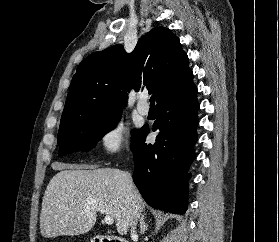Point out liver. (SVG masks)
Listing matches in <instances>:
<instances>
[{"label":"liver","instance_id":"6515ba94","mask_svg":"<svg viewBox=\"0 0 279 242\" xmlns=\"http://www.w3.org/2000/svg\"><path fill=\"white\" fill-rule=\"evenodd\" d=\"M42 201L40 230L45 238L80 235L92 229L97 212L115 219L125 235L131 220L145 208L130 176L119 169L61 165Z\"/></svg>","mask_w":279,"mask_h":242}]
</instances>
